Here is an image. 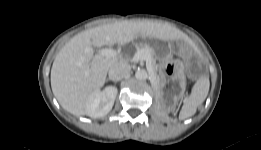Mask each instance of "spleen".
Wrapping results in <instances>:
<instances>
[{"label": "spleen", "instance_id": "spleen-1", "mask_svg": "<svg viewBox=\"0 0 261 150\" xmlns=\"http://www.w3.org/2000/svg\"><path fill=\"white\" fill-rule=\"evenodd\" d=\"M210 82L207 76H202L194 84L190 96L184 102L179 119L184 120L193 116L197 108L202 105L209 92Z\"/></svg>", "mask_w": 261, "mask_h": 150}]
</instances>
